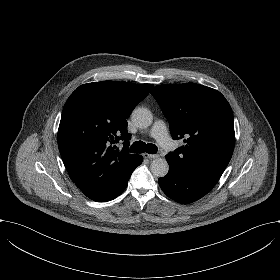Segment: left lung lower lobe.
<instances>
[{
  "label": "left lung lower lobe",
  "instance_id": "0a47b994",
  "mask_svg": "<svg viewBox=\"0 0 280 280\" xmlns=\"http://www.w3.org/2000/svg\"><path fill=\"white\" fill-rule=\"evenodd\" d=\"M170 169L168 174L159 178L163 192L181 204L192 203L205 196L218 182L220 174L202 169H188L166 158Z\"/></svg>",
  "mask_w": 280,
  "mask_h": 280
}]
</instances>
